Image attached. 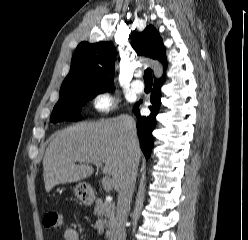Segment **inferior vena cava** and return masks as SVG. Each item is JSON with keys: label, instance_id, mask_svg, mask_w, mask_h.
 Wrapping results in <instances>:
<instances>
[{"label": "inferior vena cava", "instance_id": "1", "mask_svg": "<svg viewBox=\"0 0 248 240\" xmlns=\"http://www.w3.org/2000/svg\"><path fill=\"white\" fill-rule=\"evenodd\" d=\"M137 140L135 124L129 127L128 141L130 145V155L126 164V169L122 174L118 184V200L116 209V238L117 240H126V221L130 211V203L134 191L137 175V159L132 151Z\"/></svg>", "mask_w": 248, "mask_h": 240}]
</instances>
